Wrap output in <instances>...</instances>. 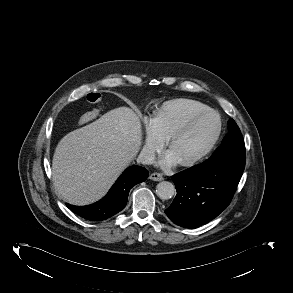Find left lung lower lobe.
Segmentation results:
<instances>
[{
    "instance_id": "left-lung-lower-lobe-1",
    "label": "left lung lower lobe",
    "mask_w": 293,
    "mask_h": 293,
    "mask_svg": "<svg viewBox=\"0 0 293 293\" xmlns=\"http://www.w3.org/2000/svg\"><path fill=\"white\" fill-rule=\"evenodd\" d=\"M172 176L177 195L165 210L177 225L196 228L217 217L231 202L245 167V147L224 150Z\"/></svg>"
}]
</instances>
